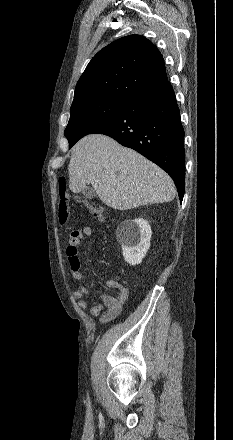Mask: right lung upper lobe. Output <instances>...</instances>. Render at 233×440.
<instances>
[{"instance_id":"right-lung-upper-lobe-1","label":"right lung upper lobe","mask_w":233,"mask_h":440,"mask_svg":"<svg viewBox=\"0 0 233 440\" xmlns=\"http://www.w3.org/2000/svg\"><path fill=\"white\" fill-rule=\"evenodd\" d=\"M167 81L163 57L143 36L122 37L100 50L77 82L73 103L89 98L130 100Z\"/></svg>"}]
</instances>
